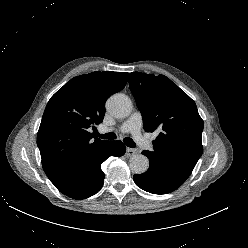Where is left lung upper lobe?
<instances>
[{
    "label": "left lung upper lobe",
    "mask_w": 248,
    "mask_h": 248,
    "mask_svg": "<svg viewBox=\"0 0 248 248\" xmlns=\"http://www.w3.org/2000/svg\"><path fill=\"white\" fill-rule=\"evenodd\" d=\"M129 85L145 131L160 132L145 156L184 183L203 153L204 123L195 102L164 75L132 72Z\"/></svg>",
    "instance_id": "5c2ea615"
}]
</instances>
